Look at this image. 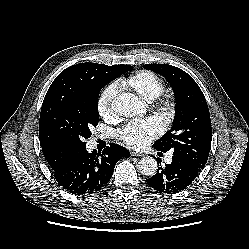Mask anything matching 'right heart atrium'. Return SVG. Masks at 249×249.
<instances>
[{
    "instance_id": "1",
    "label": "right heart atrium",
    "mask_w": 249,
    "mask_h": 249,
    "mask_svg": "<svg viewBox=\"0 0 249 249\" xmlns=\"http://www.w3.org/2000/svg\"><path fill=\"white\" fill-rule=\"evenodd\" d=\"M117 93V86L115 84L107 85L99 94L97 99V112L103 119L112 117L113 109L112 103Z\"/></svg>"
}]
</instances>
